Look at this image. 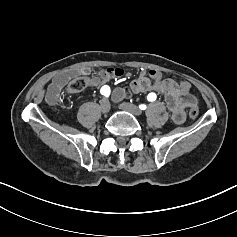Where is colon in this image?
I'll return each instance as SVG.
<instances>
[{
	"label": "colon",
	"instance_id": "5ec220e1",
	"mask_svg": "<svg viewBox=\"0 0 237 237\" xmlns=\"http://www.w3.org/2000/svg\"><path fill=\"white\" fill-rule=\"evenodd\" d=\"M89 79L87 77H77L74 78L67 86V92L69 93H78L85 89L88 86ZM189 115L191 118L195 119L199 115V110L196 105H194L190 111Z\"/></svg>",
	"mask_w": 237,
	"mask_h": 237
}]
</instances>
